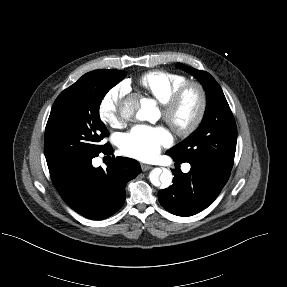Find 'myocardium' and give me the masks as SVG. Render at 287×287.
I'll list each match as a JSON object with an SVG mask.
<instances>
[{"instance_id":"myocardium-1","label":"myocardium","mask_w":287,"mask_h":287,"mask_svg":"<svg viewBox=\"0 0 287 287\" xmlns=\"http://www.w3.org/2000/svg\"><path fill=\"white\" fill-rule=\"evenodd\" d=\"M194 92L198 98V108L193 119L186 125L175 121V116L186 96ZM207 111V95L204 87L196 81H187L181 85L162 106V114L166 123L180 137H187L194 133L204 120Z\"/></svg>"}]
</instances>
